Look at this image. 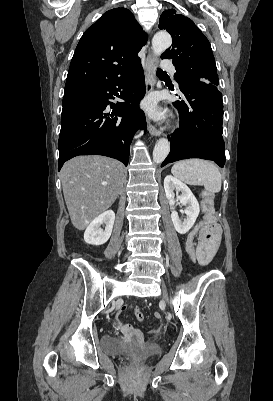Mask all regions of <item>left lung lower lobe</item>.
<instances>
[{
	"instance_id": "0a47b994",
	"label": "left lung lower lobe",
	"mask_w": 273,
	"mask_h": 401,
	"mask_svg": "<svg viewBox=\"0 0 273 401\" xmlns=\"http://www.w3.org/2000/svg\"><path fill=\"white\" fill-rule=\"evenodd\" d=\"M178 84L185 100L174 103L180 115V127L170 138V154L161 167L187 158L213 160L223 167V103L218 86L201 80Z\"/></svg>"
}]
</instances>
